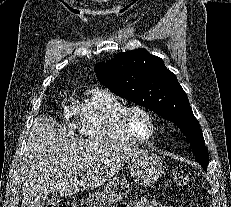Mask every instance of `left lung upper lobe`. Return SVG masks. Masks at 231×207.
Instances as JSON below:
<instances>
[{"label":"left lung upper lobe","instance_id":"left-lung-upper-lobe-1","mask_svg":"<svg viewBox=\"0 0 231 207\" xmlns=\"http://www.w3.org/2000/svg\"><path fill=\"white\" fill-rule=\"evenodd\" d=\"M98 80L112 92L147 107L175 123L189 141L196 160L204 170L209 164L200 125L177 77L161 58L147 50L118 53L95 67Z\"/></svg>","mask_w":231,"mask_h":207}]
</instances>
